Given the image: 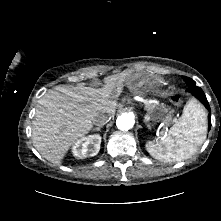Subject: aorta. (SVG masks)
Wrapping results in <instances>:
<instances>
[{
  "label": "aorta",
  "instance_id": "762f6f07",
  "mask_svg": "<svg viewBox=\"0 0 221 221\" xmlns=\"http://www.w3.org/2000/svg\"><path fill=\"white\" fill-rule=\"evenodd\" d=\"M118 129L127 131L134 126V118L129 113H122L116 120Z\"/></svg>",
  "mask_w": 221,
  "mask_h": 221
}]
</instances>
